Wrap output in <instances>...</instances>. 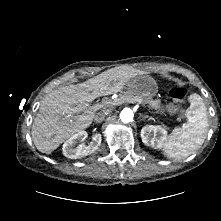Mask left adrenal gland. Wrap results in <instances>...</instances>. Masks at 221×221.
I'll return each mask as SVG.
<instances>
[{
  "label": "left adrenal gland",
  "mask_w": 221,
  "mask_h": 221,
  "mask_svg": "<svg viewBox=\"0 0 221 221\" xmlns=\"http://www.w3.org/2000/svg\"><path fill=\"white\" fill-rule=\"evenodd\" d=\"M143 118L146 119V118H149V116L148 115H144Z\"/></svg>",
  "instance_id": "left-adrenal-gland-1"
}]
</instances>
